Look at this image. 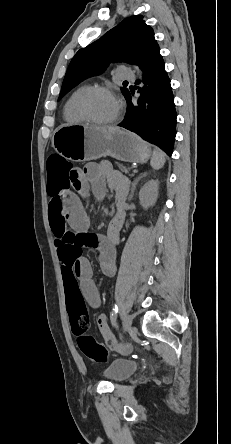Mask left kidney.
I'll return each mask as SVG.
<instances>
[{
    "label": "left kidney",
    "instance_id": "obj_1",
    "mask_svg": "<svg viewBox=\"0 0 231 444\" xmlns=\"http://www.w3.org/2000/svg\"><path fill=\"white\" fill-rule=\"evenodd\" d=\"M158 185L157 180H150L141 188L139 200L143 208L147 209L155 204L158 197Z\"/></svg>",
    "mask_w": 231,
    "mask_h": 444
}]
</instances>
